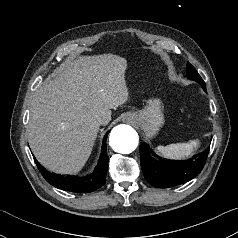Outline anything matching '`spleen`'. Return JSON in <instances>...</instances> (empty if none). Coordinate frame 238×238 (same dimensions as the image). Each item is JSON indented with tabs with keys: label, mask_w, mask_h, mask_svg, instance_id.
<instances>
[{
	"label": "spleen",
	"mask_w": 238,
	"mask_h": 238,
	"mask_svg": "<svg viewBox=\"0 0 238 238\" xmlns=\"http://www.w3.org/2000/svg\"><path fill=\"white\" fill-rule=\"evenodd\" d=\"M199 146L198 140H191L188 143L169 144L167 146H157L156 150L162 156L173 159H183L191 156Z\"/></svg>",
	"instance_id": "1"
}]
</instances>
